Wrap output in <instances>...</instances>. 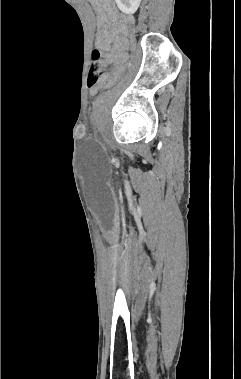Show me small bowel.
<instances>
[{"label":"small bowel","instance_id":"small-bowel-1","mask_svg":"<svg viewBox=\"0 0 241 379\" xmlns=\"http://www.w3.org/2000/svg\"><path fill=\"white\" fill-rule=\"evenodd\" d=\"M98 16V32L95 45L105 52L107 64L114 62L120 55L121 43L117 36L125 33L129 18L119 14L112 5V0H94ZM96 88L90 89V94H96Z\"/></svg>","mask_w":241,"mask_h":379}]
</instances>
